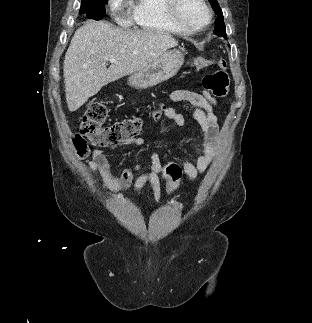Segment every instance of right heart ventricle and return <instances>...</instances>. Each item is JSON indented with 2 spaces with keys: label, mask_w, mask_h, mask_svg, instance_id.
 Returning <instances> with one entry per match:
<instances>
[{
  "label": "right heart ventricle",
  "mask_w": 312,
  "mask_h": 323,
  "mask_svg": "<svg viewBox=\"0 0 312 323\" xmlns=\"http://www.w3.org/2000/svg\"><path fill=\"white\" fill-rule=\"evenodd\" d=\"M138 5H133L129 18L133 20L135 29H170L175 33L177 29H185V22H175L173 13L167 1L137 0Z\"/></svg>",
  "instance_id": "obj_1"
}]
</instances>
